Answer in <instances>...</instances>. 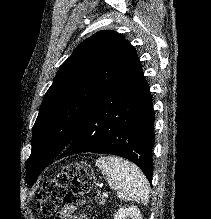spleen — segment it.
Returning a JSON list of instances; mask_svg holds the SVG:
<instances>
[{
    "mask_svg": "<svg viewBox=\"0 0 211 219\" xmlns=\"http://www.w3.org/2000/svg\"><path fill=\"white\" fill-rule=\"evenodd\" d=\"M96 166L102 171L109 186L117 190L120 199L144 205L148 203V181L137 166L114 156L97 159Z\"/></svg>",
    "mask_w": 211,
    "mask_h": 219,
    "instance_id": "spleen-1",
    "label": "spleen"
}]
</instances>
